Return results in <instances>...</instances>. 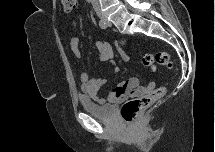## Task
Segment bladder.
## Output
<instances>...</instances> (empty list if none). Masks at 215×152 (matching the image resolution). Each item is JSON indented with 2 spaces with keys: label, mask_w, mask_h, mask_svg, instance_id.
<instances>
[{
  "label": "bladder",
  "mask_w": 215,
  "mask_h": 152,
  "mask_svg": "<svg viewBox=\"0 0 215 152\" xmlns=\"http://www.w3.org/2000/svg\"><path fill=\"white\" fill-rule=\"evenodd\" d=\"M80 103L82 108L89 114L103 119L111 120L114 116V106L113 105H100L93 99L83 96L80 98Z\"/></svg>",
  "instance_id": "bladder-1"
}]
</instances>
